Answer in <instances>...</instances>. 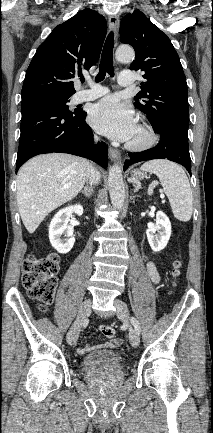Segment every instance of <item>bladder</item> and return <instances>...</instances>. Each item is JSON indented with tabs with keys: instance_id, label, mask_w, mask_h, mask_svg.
I'll return each instance as SVG.
<instances>
[{
	"instance_id": "obj_1",
	"label": "bladder",
	"mask_w": 213,
	"mask_h": 433,
	"mask_svg": "<svg viewBox=\"0 0 213 433\" xmlns=\"http://www.w3.org/2000/svg\"><path fill=\"white\" fill-rule=\"evenodd\" d=\"M121 361L122 358L117 351L100 350L84 356L81 366L85 371L93 372L118 367Z\"/></svg>"
}]
</instances>
